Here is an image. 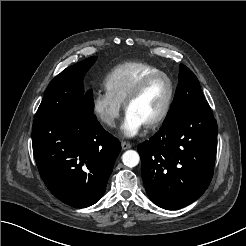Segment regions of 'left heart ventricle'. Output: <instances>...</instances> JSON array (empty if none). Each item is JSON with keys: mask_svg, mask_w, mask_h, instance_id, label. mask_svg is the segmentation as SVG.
Here are the masks:
<instances>
[{"mask_svg": "<svg viewBox=\"0 0 246 246\" xmlns=\"http://www.w3.org/2000/svg\"><path fill=\"white\" fill-rule=\"evenodd\" d=\"M169 94V84L163 77L154 79L142 94L129 106L144 125L156 118L164 108Z\"/></svg>", "mask_w": 246, "mask_h": 246, "instance_id": "obj_1", "label": "left heart ventricle"}]
</instances>
